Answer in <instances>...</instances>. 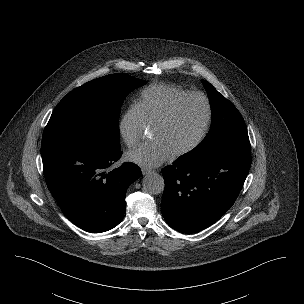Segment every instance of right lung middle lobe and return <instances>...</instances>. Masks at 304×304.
Here are the masks:
<instances>
[{
  "label": "right lung middle lobe",
  "instance_id": "right-lung-middle-lobe-1",
  "mask_svg": "<svg viewBox=\"0 0 304 304\" xmlns=\"http://www.w3.org/2000/svg\"><path fill=\"white\" fill-rule=\"evenodd\" d=\"M146 81L127 74H111L68 93L54 109L44 129L41 148L82 142L120 150L118 115L128 93Z\"/></svg>",
  "mask_w": 304,
  "mask_h": 304
}]
</instances>
